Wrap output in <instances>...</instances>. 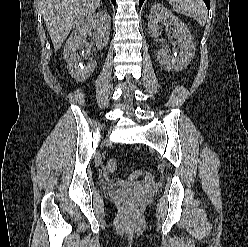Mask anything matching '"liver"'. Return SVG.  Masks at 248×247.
<instances>
[{
  "label": "liver",
  "instance_id": "liver-1",
  "mask_svg": "<svg viewBox=\"0 0 248 247\" xmlns=\"http://www.w3.org/2000/svg\"><path fill=\"white\" fill-rule=\"evenodd\" d=\"M100 0H42V14L55 51L70 31L90 16Z\"/></svg>",
  "mask_w": 248,
  "mask_h": 247
}]
</instances>
